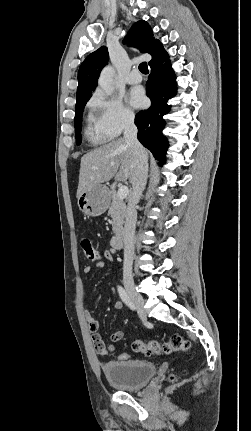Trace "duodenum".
Wrapping results in <instances>:
<instances>
[{
  "instance_id": "duodenum-1",
  "label": "duodenum",
  "mask_w": 251,
  "mask_h": 431,
  "mask_svg": "<svg viewBox=\"0 0 251 431\" xmlns=\"http://www.w3.org/2000/svg\"><path fill=\"white\" fill-rule=\"evenodd\" d=\"M125 235L123 231H118L111 239V245L116 250H121L124 247Z\"/></svg>"
}]
</instances>
